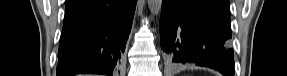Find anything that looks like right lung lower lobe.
I'll return each mask as SVG.
<instances>
[{"instance_id":"98d812e1","label":"right lung lower lobe","mask_w":287,"mask_h":76,"mask_svg":"<svg viewBox=\"0 0 287 76\" xmlns=\"http://www.w3.org/2000/svg\"><path fill=\"white\" fill-rule=\"evenodd\" d=\"M137 0H74L66 6L57 76H112L131 30Z\"/></svg>"}]
</instances>
